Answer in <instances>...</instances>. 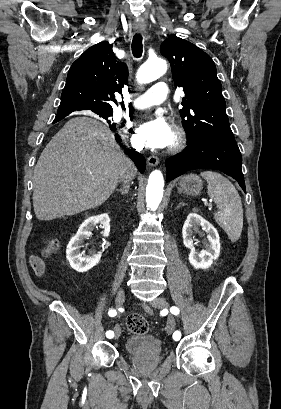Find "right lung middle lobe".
<instances>
[{"mask_svg":"<svg viewBox=\"0 0 281 409\" xmlns=\"http://www.w3.org/2000/svg\"><path fill=\"white\" fill-rule=\"evenodd\" d=\"M96 114H98L104 119H107L108 117L113 115V111H101V112H96Z\"/></svg>","mask_w":281,"mask_h":409,"instance_id":"obj_1","label":"right lung middle lobe"}]
</instances>
